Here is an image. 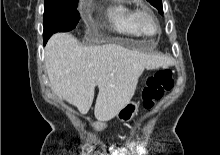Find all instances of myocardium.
Instances as JSON below:
<instances>
[{"label":"myocardium","instance_id":"myocardium-1","mask_svg":"<svg viewBox=\"0 0 220 155\" xmlns=\"http://www.w3.org/2000/svg\"><path fill=\"white\" fill-rule=\"evenodd\" d=\"M146 15L150 16V17L153 19V21L155 22V25H156V31H155L153 34H151V35L145 33V32L143 31L142 27H141V20H142V18H143L144 16H146ZM133 23H134V26H135L137 32H138L140 35H143V36H146V37H148V36H155V35H157V34L160 32V30H161V27H160V23H159L158 18H157L156 15H155L150 9H148V8H142V9H137V10H135L134 15H133Z\"/></svg>","mask_w":220,"mask_h":155}]
</instances>
